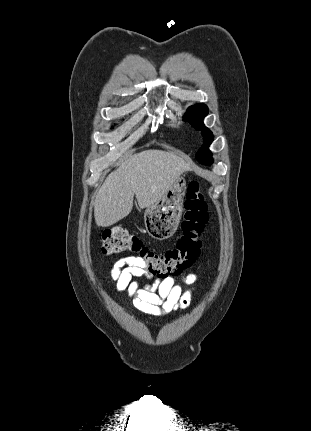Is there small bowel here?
Masks as SVG:
<instances>
[{
	"label": "small bowel",
	"mask_w": 311,
	"mask_h": 431,
	"mask_svg": "<svg viewBox=\"0 0 311 431\" xmlns=\"http://www.w3.org/2000/svg\"><path fill=\"white\" fill-rule=\"evenodd\" d=\"M152 277L146 262L139 256H127L118 260L110 271V279L118 292H126L139 311L150 315H166L189 306L192 289L184 290L173 278L156 279L153 285L142 286L133 279ZM198 276L190 273L183 278L187 285L196 283Z\"/></svg>",
	"instance_id": "c3829d8e"
}]
</instances>
